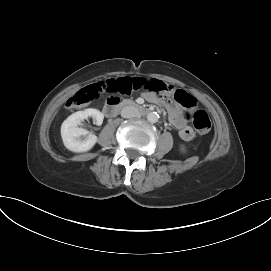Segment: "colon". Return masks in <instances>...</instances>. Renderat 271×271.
<instances>
[{
	"label": "colon",
	"mask_w": 271,
	"mask_h": 271,
	"mask_svg": "<svg viewBox=\"0 0 271 271\" xmlns=\"http://www.w3.org/2000/svg\"><path fill=\"white\" fill-rule=\"evenodd\" d=\"M141 84L142 79L140 78L125 77L109 80L103 86L96 84L89 85L70 97L66 102V107L69 109L83 107L90 103L102 90L111 93L130 94L133 91L141 89ZM174 99L186 109H193L196 106L195 98L183 90H177L174 93ZM186 116H188V114H186ZM192 122L199 134H207L211 129L210 118L204 110H196L192 115Z\"/></svg>",
	"instance_id": "1"
}]
</instances>
